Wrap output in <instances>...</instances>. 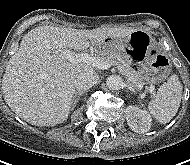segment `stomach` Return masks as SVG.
Instances as JSON below:
<instances>
[{
	"mask_svg": "<svg viewBox=\"0 0 190 165\" xmlns=\"http://www.w3.org/2000/svg\"><path fill=\"white\" fill-rule=\"evenodd\" d=\"M135 32L126 38L105 39L96 46V52L100 55L123 53V60L139 73L144 82L157 83L168 72V60L164 61L159 49L147 33Z\"/></svg>",
	"mask_w": 190,
	"mask_h": 165,
	"instance_id": "stomach-1",
	"label": "stomach"
}]
</instances>
